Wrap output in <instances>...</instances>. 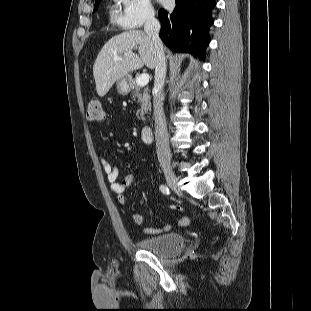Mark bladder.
I'll return each instance as SVG.
<instances>
[{"label": "bladder", "instance_id": "1", "mask_svg": "<svg viewBox=\"0 0 311 311\" xmlns=\"http://www.w3.org/2000/svg\"><path fill=\"white\" fill-rule=\"evenodd\" d=\"M186 239L180 233H166L153 237H143L137 241L140 250L169 256L182 250Z\"/></svg>", "mask_w": 311, "mask_h": 311}]
</instances>
